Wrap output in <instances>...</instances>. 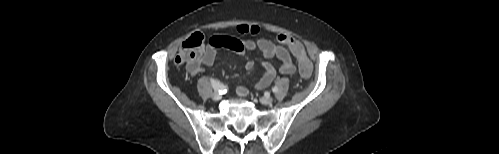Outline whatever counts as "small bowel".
Returning a JSON list of instances; mask_svg holds the SVG:
<instances>
[{"mask_svg": "<svg viewBox=\"0 0 499 154\" xmlns=\"http://www.w3.org/2000/svg\"><path fill=\"white\" fill-rule=\"evenodd\" d=\"M240 34H257L259 28L255 25L242 24L237 27ZM220 48H227L238 53L240 56L245 57L247 51L258 49L263 56L267 59L263 63L264 74L260 80L255 84L256 88H265L269 86L277 75L276 67L269 61V59L276 57L279 60V72L283 75H291L295 72V65L292 61L289 51L280 44H274L266 38H259L256 41L251 39H239L231 36H214L208 41L207 47L203 53L200 64L192 66L187 65V69L192 75L200 72L201 66H209L214 62L216 52ZM254 62L252 60L245 61V69L252 70ZM238 96L245 97L248 90L244 86H238L236 89Z\"/></svg>", "mask_w": 499, "mask_h": 154, "instance_id": "small-bowel-1", "label": "small bowel"}]
</instances>
